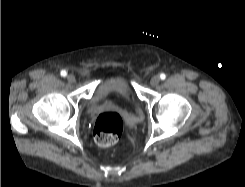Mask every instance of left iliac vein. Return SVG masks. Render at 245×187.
Wrapping results in <instances>:
<instances>
[{
  "instance_id": "4c4485c4",
  "label": "left iliac vein",
  "mask_w": 245,
  "mask_h": 187,
  "mask_svg": "<svg viewBox=\"0 0 245 187\" xmlns=\"http://www.w3.org/2000/svg\"><path fill=\"white\" fill-rule=\"evenodd\" d=\"M159 82H160V77L157 76V75L153 76V77L150 79V84H151L152 86H157V85L159 84Z\"/></svg>"
}]
</instances>
